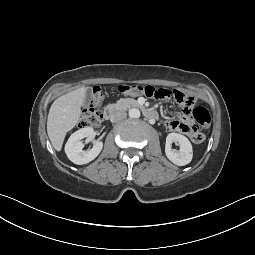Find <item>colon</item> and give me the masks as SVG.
Returning a JSON list of instances; mask_svg holds the SVG:
<instances>
[{
    "mask_svg": "<svg viewBox=\"0 0 255 255\" xmlns=\"http://www.w3.org/2000/svg\"><path fill=\"white\" fill-rule=\"evenodd\" d=\"M121 94L126 95H140L143 94L150 98H170L179 102L182 107L183 115L187 119H193L196 123L204 128L210 125L209 112L201 107L194 108L195 98L192 93L183 94L180 91H169L164 88H155L152 86H141L137 84L121 85L115 88ZM103 92L101 88L96 87L93 90L89 105L84 109L79 126L81 128L96 127L101 123L102 115L100 113V106L103 102ZM189 138L195 142L200 143L204 140V135L195 125H190L186 131Z\"/></svg>",
    "mask_w": 255,
    "mask_h": 255,
    "instance_id": "5ec220e1",
    "label": "colon"
}]
</instances>
